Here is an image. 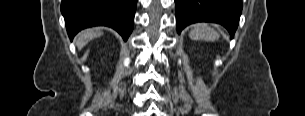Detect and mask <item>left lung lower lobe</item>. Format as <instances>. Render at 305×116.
<instances>
[{"label": "left lung lower lobe", "instance_id": "1", "mask_svg": "<svg viewBox=\"0 0 305 116\" xmlns=\"http://www.w3.org/2000/svg\"><path fill=\"white\" fill-rule=\"evenodd\" d=\"M175 5L178 33L195 22H214L233 37L242 12V0H175Z\"/></svg>", "mask_w": 305, "mask_h": 116}]
</instances>
